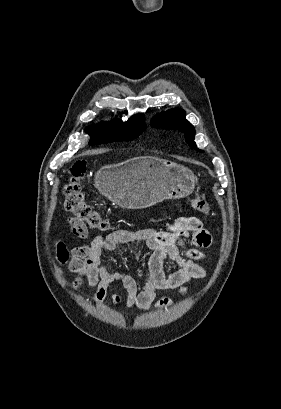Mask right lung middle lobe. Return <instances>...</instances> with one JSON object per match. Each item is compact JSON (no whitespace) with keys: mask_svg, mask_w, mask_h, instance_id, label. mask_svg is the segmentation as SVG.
Listing matches in <instances>:
<instances>
[{"mask_svg":"<svg viewBox=\"0 0 281 409\" xmlns=\"http://www.w3.org/2000/svg\"><path fill=\"white\" fill-rule=\"evenodd\" d=\"M145 125L125 128H95L89 127L87 133L91 135L90 145L109 143L114 141H130L139 136Z\"/></svg>","mask_w":281,"mask_h":409,"instance_id":"1","label":"right lung middle lobe"}]
</instances>
